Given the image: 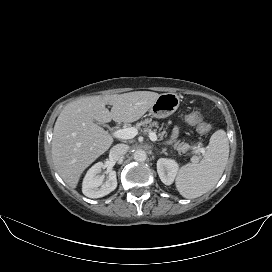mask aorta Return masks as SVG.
<instances>
[{"mask_svg": "<svg viewBox=\"0 0 272 272\" xmlns=\"http://www.w3.org/2000/svg\"><path fill=\"white\" fill-rule=\"evenodd\" d=\"M133 158L137 162H144L147 159V154L144 150H136L133 153Z\"/></svg>", "mask_w": 272, "mask_h": 272, "instance_id": "1", "label": "aorta"}]
</instances>
